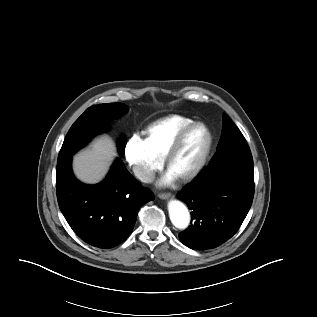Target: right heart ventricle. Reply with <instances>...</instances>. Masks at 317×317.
<instances>
[{
  "instance_id": "right-heart-ventricle-1",
  "label": "right heart ventricle",
  "mask_w": 317,
  "mask_h": 317,
  "mask_svg": "<svg viewBox=\"0 0 317 317\" xmlns=\"http://www.w3.org/2000/svg\"><path fill=\"white\" fill-rule=\"evenodd\" d=\"M193 122L191 118L170 115L150 124L144 131V141L151 152L164 159L171 143L181 129Z\"/></svg>"
}]
</instances>
